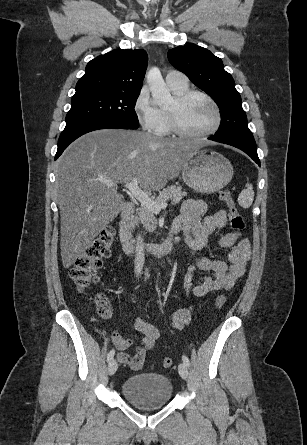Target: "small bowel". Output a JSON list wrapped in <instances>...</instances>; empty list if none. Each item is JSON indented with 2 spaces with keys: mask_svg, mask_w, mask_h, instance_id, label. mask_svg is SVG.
Wrapping results in <instances>:
<instances>
[{
  "mask_svg": "<svg viewBox=\"0 0 307 445\" xmlns=\"http://www.w3.org/2000/svg\"><path fill=\"white\" fill-rule=\"evenodd\" d=\"M227 216L225 209L208 214L207 205L203 201L187 199L182 205L180 214L175 218L172 229L177 233L182 232L184 241L194 256L184 276L183 289L187 296L201 298L220 290H229L244 275L246 265L251 258V246L249 240L239 232L223 234L216 241L218 248L225 253L226 259H211L201 255V252L209 246L212 235L225 226ZM196 270L209 274L196 279ZM190 319L191 307H179L170 314V326L173 329H182ZM135 328L142 334V339L133 353L127 351L133 344L131 339H121L116 345L120 351L119 362L134 370H140L147 352L154 348L159 331L141 317L136 319Z\"/></svg>",
  "mask_w": 307,
  "mask_h": 445,
  "instance_id": "c3829d8e",
  "label": "small bowel"
}]
</instances>
